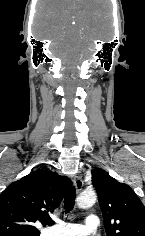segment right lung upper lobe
<instances>
[{
  "mask_svg": "<svg viewBox=\"0 0 145 236\" xmlns=\"http://www.w3.org/2000/svg\"><path fill=\"white\" fill-rule=\"evenodd\" d=\"M71 184L69 178L49 169L11 183L0 195V236H39L34 223H54L49 214Z\"/></svg>",
  "mask_w": 145,
  "mask_h": 236,
  "instance_id": "obj_1",
  "label": "right lung upper lobe"
}]
</instances>
